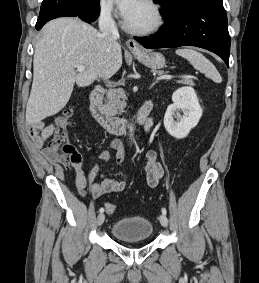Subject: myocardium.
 <instances>
[{"label": "myocardium", "mask_w": 259, "mask_h": 283, "mask_svg": "<svg viewBox=\"0 0 259 283\" xmlns=\"http://www.w3.org/2000/svg\"><path fill=\"white\" fill-rule=\"evenodd\" d=\"M146 3L154 13V22L151 26L146 28H134L132 27L126 19L123 21V28L130 34L137 36L151 35L159 31L164 24V15L160 5L155 0H142Z\"/></svg>", "instance_id": "obj_1"}]
</instances>
